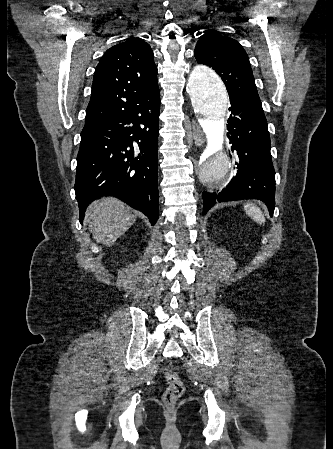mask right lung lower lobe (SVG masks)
I'll return each instance as SVG.
<instances>
[{
	"label": "right lung lower lobe",
	"instance_id": "right-lung-lower-lobe-1",
	"mask_svg": "<svg viewBox=\"0 0 333 449\" xmlns=\"http://www.w3.org/2000/svg\"><path fill=\"white\" fill-rule=\"evenodd\" d=\"M159 114L156 92L128 111L83 128L75 183L81 223L86 207L102 195L118 197L156 223Z\"/></svg>",
	"mask_w": 333,
	"mask_h": 449
}]
</instances>
